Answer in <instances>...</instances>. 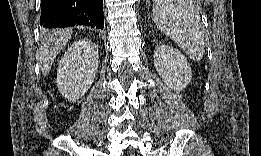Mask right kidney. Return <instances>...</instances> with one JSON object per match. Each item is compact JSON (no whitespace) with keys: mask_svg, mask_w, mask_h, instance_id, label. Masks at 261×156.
I'll use <instances>...</instances> for the list:
<instances>
[{"mask_svg":"<svg viewBox=\"0 0 261 156\" xmlns=\"http://www.w3.org/2000/svg\"><path fill=\"white\" fill-rule=\"evenodd\" d=\"M98 63V47L91 40L75 41L57 69V86L61 94L69 101L84 96L96 77Z\"/></svg>","mask_w":261,"mask_h":156,"instance_id":"1","label":"right kidney"}]
</instances>
